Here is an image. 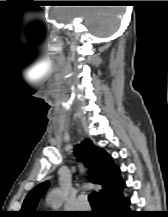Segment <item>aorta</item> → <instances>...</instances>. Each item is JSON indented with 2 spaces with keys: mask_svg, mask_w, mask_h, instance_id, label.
I'll use <instances>...</instances> for the list:
<instances>
[{
  "mask_svg": "<svg viewBox=\"0 0 168 217\" xmlns=\"http://www.w3.org/2000/svg\"><path fill=\"white\" fill-rule=\"evenodd\" d=\"M65 199V193L60 188L53 189L47 196V202L53 209L61 207Z\"/></svg>",
  "mask_w": 168,
  "mask_h": 217,
  "instance_id": "obj_1",
  "label": "aorta"
}]
</instances>
